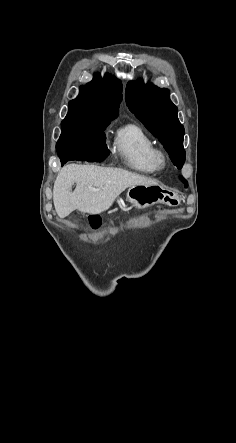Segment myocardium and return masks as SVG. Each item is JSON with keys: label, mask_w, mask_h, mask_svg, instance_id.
<instances>
[{"label": "myocardium", "mask_w": 236, "mask_h": 443, "mask_svg": "<svg viewBox=\"0 0 236 443\" xmlns=\"http://www.w3.org/2000/svg\"><path fill=\"white\" fill-rule=\"evenodd\" d=\"M155 160L159 168H162L166 165L167 156L166 153L162 150L156 149L155 152Z\"/></svg>", "instance_id": "f54148a6"}]
</instances>
